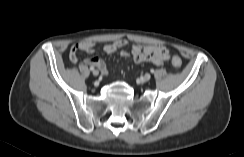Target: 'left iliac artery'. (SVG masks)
Here are the masks:
<instances>
[{
  "label": "left iliac artery",
  "instance_id": "left-iliac-artery-1",
  "mask_svg": "<svg viewBox=\"0 0 244 157\" xmlns=\"http://www.w3.org/2000/svg\"><path fill=\"white\" fill-rule=\"evenodd\" d=\"M151 73H154V70L153 69H151Z\"/></svg>",
  "mask_w": 244,
  "mask_h": 157
}]
</instances>
